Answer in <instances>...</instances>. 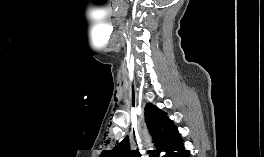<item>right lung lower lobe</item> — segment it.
Returning a JSON list of instances; mask_svg holds the SVG:
<instances>
[{"label":"right lung lower lobe","instance_id":"1","mask_svg":"<svg viewBox=\"0 0 264 157\" xmlns=\"http://www.w3.org/2000/svg\"><path fill=\"white\" fill-rule=\"evenodd\" d=\"M163 157H191L189 150L184 147L183 140L180 139L172 146Z\"/></svg>","mask_w":264,"mask_h":157}]
</instances>
